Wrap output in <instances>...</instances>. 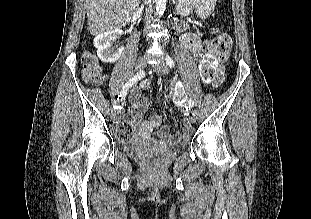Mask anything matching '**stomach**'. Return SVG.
<instances>
[{
    "label": "stomach",
    "instance_id": "stomach-1",
    "mask_svg": "<svg viewBox=\"0 0 311 219\" xmlns=\"http://www.w3.org/2000/svg\"><path fill=\"white\" fill-rule=\"evenodd\" d=\"M197 1V14L201 18L208 17L213 11L216 0H196Z\"/></svg>",
    "mask_w": 311,
    "mask_h": 219
}]
</instances>
